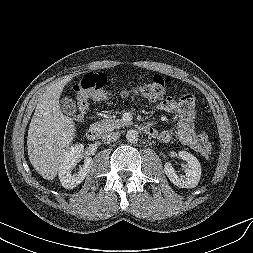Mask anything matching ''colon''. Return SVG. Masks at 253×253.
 <instances>
[{
	"instance_id": "5ec220e1",
	"label": "colon",
	"mask_w": 253,
	"mask_h": 253,
	"mask_svg": "<svg viewBox=\"0 0 253 253\" xmlns=\"http://www.w3.org/2000/svg\"><path fill=\"white\" fill-rule=\"evenodd\" d=\"M107 79L103 74L91 73L83 77L75 85V118L83 120L89 108V101L109 103L113 100H133L144 99L148 101H157L166 94L168 80L167 78L156 74L148 82L134 86L130 89L113 93L105 90ZM186 99L194 100L190 94H185ZM202 155L210 157L212 154L211 144L206 140L203 143Z\"/></svg>"
}]
</instances>
